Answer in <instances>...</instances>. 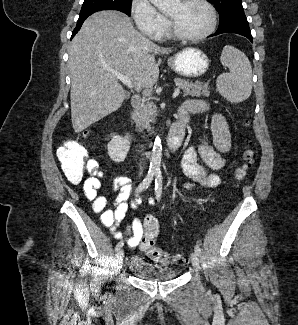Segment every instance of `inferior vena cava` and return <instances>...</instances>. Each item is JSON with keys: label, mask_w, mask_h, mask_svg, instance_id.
<instances>
[{"label": "inferior vena cava", "mask_w": 298, "mask_h": 325, "mask_svg": "<svg viewBox=\"0 0 298 325\" xmlns=\"http://www.w3.org/2000/svg\"><path fill=\"white\" fill-rule=\"evenodd\" d=\"M140 169H143V167H141V165H140ZM139 175H143L142 171H141V173H139Z\"/></svg>", "instance_id": "602c4592"}]
</instances>
